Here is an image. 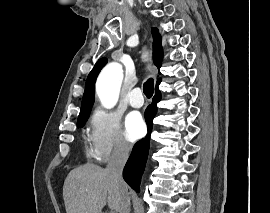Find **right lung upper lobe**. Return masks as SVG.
Wrapping results in <instances>:
<instances>
[{
  "instance_id": "obj_1",
  "label": "right lung upper lobe",
  "mask_w": 270,
  "mask_h": 213,
  "mask_svg": "<svg viewBox=\"0 0 270 213\" xmlns=\"http://www.w3.org/2000/svg\"><path fill=\"white\" fill-rule=\"evenodd\" d=\"M153 34V61L154 64L158 67L161 66V56L163 53L161 36L156 28L152 29ZM107 60L105 58L100 59L89 73L86 80L85 92L82 99L81 111L79 115L86 114L90 112V109L94 103V94H95V80L100 72V70L105 66ZM160 74V72H159ZM158 79L157 84L160 83Z\"/></svg>"
}]
</instances>
